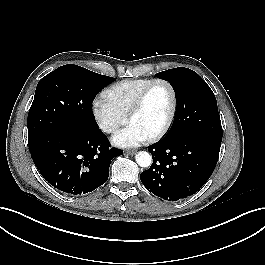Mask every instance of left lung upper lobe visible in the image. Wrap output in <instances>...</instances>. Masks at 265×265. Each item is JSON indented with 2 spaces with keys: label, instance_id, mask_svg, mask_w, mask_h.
<instances>
[{
  "label": "left lung upper lobe",
  "instance_id": "left-lung-upper-lobe-1",
  "mask_svg": "<svg viewBox=\"0 0 265 265\" xmlns=\"http://www.w3.org/2000/svg\"><path fill=\"white\" fill-rule=\"evenodd\" d=\"M168 81L176 94L173 125L163 139L199 133L222 140V126L216 98L208 84L194 71L178 67L156 74Z\"/></svg>",
  "mask_w": 265,
  "mask_h": 265
}]
</instances>
